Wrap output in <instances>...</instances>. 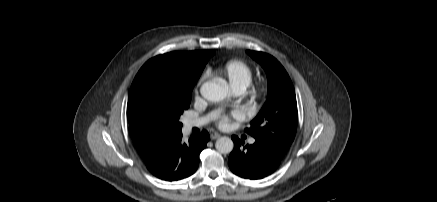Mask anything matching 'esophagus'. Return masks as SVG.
I'll use <instances>...</instances> for the list:
<instances>
[{"instance_id":"1","label":"esophagus","mask_w":437,"mask_h":202,"mask_svg":"<svg viewBox=\"0 0 437 202\" xmlns=\"http://www.w3.org/2000/svg\"><path fill=\"white\" fill-rule=\"evenodd\" d=\"M210 138H211L212 140H216V139L220 138V134H218V133H216V132L211 133Z\"/></svg>"}]
</instances>
